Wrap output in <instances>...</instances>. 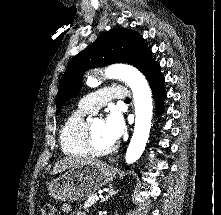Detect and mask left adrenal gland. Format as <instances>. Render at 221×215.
<instances>
[{"label": "left adrenal gland", "mask_w": 221, "mask_h": 215, "mask_svg": "<svg viewBox=\"0 0 221 215\" xmlns=\"http://www.w3.org/2000/svg\"><path fill=\"white\" fill-rule=\"evenodd\" d=\"M118 192H119V190H114L113 186L110 185L109 186V190H108V194L106 195V197L103 200H101V202L107 201L110 197H112L113 195L117 194Z\"/></svg>", "instance_id": "obj_1"}]
</instances>
